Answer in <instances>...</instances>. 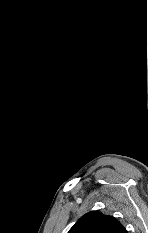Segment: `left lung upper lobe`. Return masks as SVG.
Wrapping results in <instances>:
<instances>
[{
  "label": "left lung upper lobe",
  "instance_id": "1",
  "mask_svg": "<svg viewBox=\"0 0 148 233\" xmlns=\"http://www.w3.org/2000/svg\"><path fill=\"white\" fill-rule=\"evenodd\" d=\"M68 233H127V231L114 217L91 211L83 215Z\"/></svg>",
  "mask_w": 148,
  "mask_h": 233
}]
</instances>
